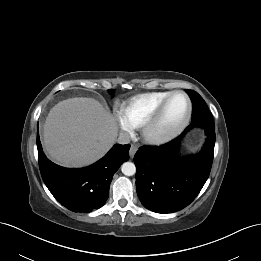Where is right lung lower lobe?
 <instances>
[{
	"label": "right lung lower lobe",
	"instance_id": "obj_1",
	"mask_svg": "<svg viewBox=\"0 0 261 261\" xmlns=\"http://www.w3.org/2000/svg\"><path fill=\"white\" fill-rule=\"evenodd\" d=\"M38 161L42 179L56 200L74 212L88 213L102 207L119 166L129 159L130 145L116 144L98 162L81 169H67L43 153L37 133Z\"/></svg>",
	"mask_w": 261,
	"mask_h": 261
}]
</instances>
